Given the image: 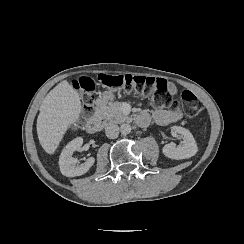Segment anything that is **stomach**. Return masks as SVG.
I'll use <instances>...</instances> for the list:
<instances>
[{"mask_svg": "<svg viewBox=\"0 0 244 244\" xmlns=\"http://www.w3.org/2000/svg\"><path fill=\"white\" fill-rule=\"evenodd\" d=\"M116 96L115 89H106L99 94L98 100L107 102Z\"/></svg>", "mask_w": 244, "mask_h": 244, "instance_id": "obj_1", "label": "stomach"}]
</instances>
